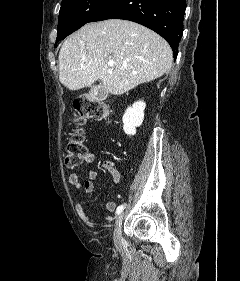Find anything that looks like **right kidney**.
<instances>
[{
  "label": "right kidney",
  "instance_id": "1",
  "mask_svg": "<svg viewBox=\"0 0 240 281\" xmlns=\"http://www.w3.org/2000/svg\"><path fill=\"white\" fill-rule=\"evenodd\" d=\"M145 107L144 101H137L127 108L122 118L125 134L130 136L136 134V128L141 126L144 120Z\"/></svg>",
  "mask_w": 240,
  "mask_h": 281
}]
</instances>
